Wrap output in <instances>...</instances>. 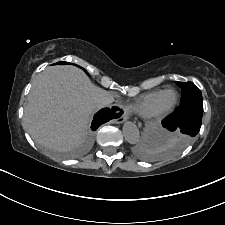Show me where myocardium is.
Listing matches in <instances>:
<instances>
[{
    "mask_svg": "<svg viewBox=\"0 0 225 225\" xmlns=\"http://www.w3.org/2000/svg\"><path fill=\"white\" fill-rule=\"evenodd\" d=\"M168 92L174 93L175 95L174 101L167 106H160L159 101L161 97ZM178 99H179V96L176 90L174 89L162 90L145 116L151 120H160L164 118L175 108V106L177 105Z\"/></svg>",
    "mask_w": 225,
    "mask_h": 225,
    "instance_id": "f54148a6",
    "label": "myocardium"
}]
</instances>
